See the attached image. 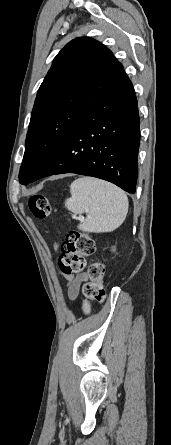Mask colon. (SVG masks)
Here are the masks:
<instances>
[{
    "label": "colon",
    "instance_id": "1",
    "mask_svg": "<svg viewBox=\"0 0 171 445\" xmlns=\"http://www.w3.org/2000/svg\"><path fill=\"white\" fill-rule=\"evenodd\" d=\"M29 208L38 219L46 218L51 212V204L47 197L41 194L29 199ZM96 251L94 240L87 234L77 231L70 232L62 244V254L59 258L60 269L64 273L80 272L86 267V259ZM88 279L82 287L83 306L88 309L90 302L103 301L106 298L103 282L105 269L101 262L94 261L88 266Z\"/></svg>",
    "mask_w": 171,
    "mask_h": 445
}]
</instances>
